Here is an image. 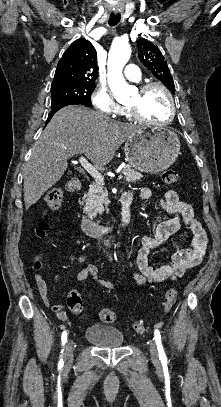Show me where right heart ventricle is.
<instances>
[{"label":"right heart ventricle","instance_id":"right-heart-ventricle-1","mask_svg":"<svg viewBox=\"0 0 221 407\" xmlns=\"http://www.w3.org/2000/svg\"><path fill=\"white\" fill-rule=\"evenodd\" d=\"M118 114H120V115H122V116H125V117H130V115L128 114L126 108H123V107H121V109H120V111H119Z\"/></svg>","mask_w":221,"mask_h":407}]
</instances>
